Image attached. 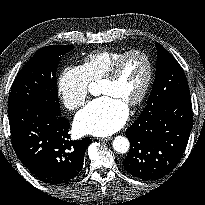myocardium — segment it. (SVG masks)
Masks as SVG:
<instances>
[{
  "label": "myocardium",
  "mask_w": 205,
  "mask_h": 205,
  "mask_svg": "<svg viewBox=\"0 0 205 205\" xmlns=\"http://www.w3.org/2000/svg\"><path fill=\"white\" fill-rule=\"evenodd\" d=\"M134 55L141 56L146 60L148 70H147V76H146V80H145V83L143 85L142 90L140 91V93L138 94V96L134 100H132L131 102H129L127 104L129 107L136 106L144 100V98L146 97V95H147V93L150 89V86H151V83H152V80H153L154 65H153V61H152L151 56L147 52L142 51V50H138V49H134V50H130V51H127V52L123 53L112 64V66L107 71V73L100 79V82L114 81L117 78V76H118V74L121 70V67H122L123 63L125 62V60L127 58L131 57V56H134Z\"/></svg>",
  "instance_id": "myocardium-1"
}]
</instances>
